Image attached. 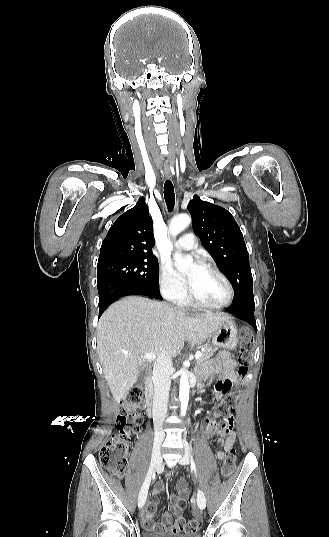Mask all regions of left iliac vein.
Wrapping results in <instances>:
<instances>
[{
    "mask_svg": "<svg viewBox=\"0 0 329 537\" xmlns=\"http://www.w3.org/2000/svg\"><path fill=\"white\" fill-rule=\"evenodd\" d=\"M179 462L182 465H188L190 462L188 453H184L183 457L180 459ZM197 505L200 510H204L206 507V497L201 490H198V493H197Z\"/></svg>",
    "mask_w": 329,
    "mask_h": 537,
    "instance_id": "obj_1",
    "label": "left iliac vein"
}]
</instances>
